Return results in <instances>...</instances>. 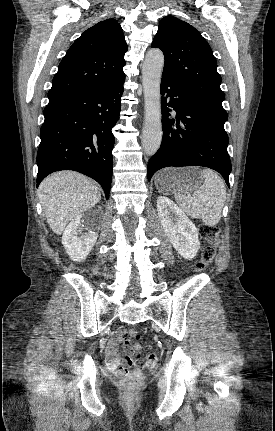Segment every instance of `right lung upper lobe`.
<instances>
[{
	"mask_svg": "<svg viewBox=\"0 0 275 431\" xmlns=\"http://www.w3.org/2000/svg\"><path fill=\"white\" fill-rule=\"evenodd\" d=\"M127 44L120 24L107 19L86 30L59 64L49 100L112 87L125 80Z\"/></svg>",
	"mask_w": 275,
	"mask_h": 431,
	"instance_id": "obj_1",
	"label": "right lung upper lobe"
}]
</instances>
